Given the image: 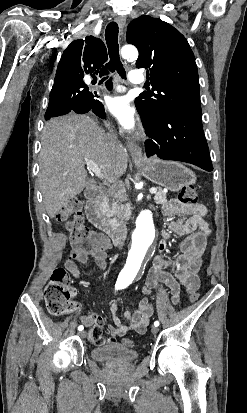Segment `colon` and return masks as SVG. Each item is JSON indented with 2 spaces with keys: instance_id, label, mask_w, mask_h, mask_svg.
<instances>
[{
  "instance_id": "1",
  "label": "colon",
  "mask_w": 247,
  "mask_h": 413,
  "mask_svg": "<svg viewBox=\"0 0 247 413\" xmlns=\"http://www.w3.org/2000/svg\"><path fill=\"white\" fill-rule=\"evenodd\" d=\"M177 198L181 203H195L197 200L195 189L190 186L183 188ZM81 209L80 200H70L60 209L58 220L66 224L75 249L90 251L98 247L97 253L105 256L108 253L106 238L84 223ZM72 295L69 272L62 268L57 269L44 289L47 310L53 315L71 313L72 307H76V304H72ZM198 297L199 293H191L190 300L194 302ZM122 342L127 347L133 345L128 338L123 339Z\"/></svg>"
}]
</instances>
